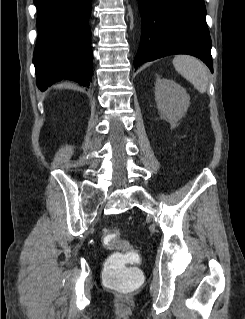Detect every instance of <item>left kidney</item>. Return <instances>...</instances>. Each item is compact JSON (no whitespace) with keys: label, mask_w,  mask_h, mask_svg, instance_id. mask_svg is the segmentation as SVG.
Instances as JSON below:
<instances>
[{"label":"left kidney","mask_w":245,"mask_h":319,"mask_svg":"<svg viewBox=\"0 0 245 319\" xmlns=\"http://www.w3.org/2000/svg\"><path fill=\"white\" fill-rule=\"evenodd\" d=\"M155 100L163 118L172 127L185 115L190 96L186 90L171 79H158L155 85Z\"/></svg>","instance_id":"obj_1"}]
</instances>
